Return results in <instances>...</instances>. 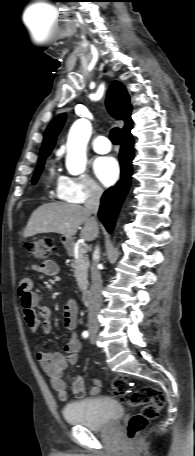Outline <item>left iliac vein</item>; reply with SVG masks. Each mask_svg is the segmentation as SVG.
Wrapping results in <instances>:
<instances>
[{
	"instance_id": "left-iliac-vein-1",
	"label": "left iliac vein",
	"mask_w": 195,
	"mask_h": 456,
	"mask_svg": "<svg viewBox=\"0 0 195 456\" xmlns=\"http://www.w3.org/2000/svg\"><path fill=\"white\" fill-rule=\"evenodd\" d=\"M90 342L93 344L95 342V334L90 335Z\"/></svg>"
}]
</instances>
